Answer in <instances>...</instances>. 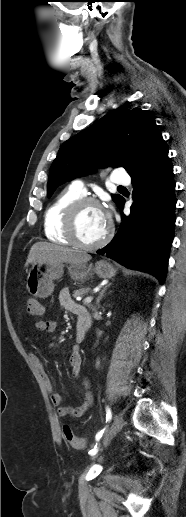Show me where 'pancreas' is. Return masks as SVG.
Instances as JSON below:
<instances>
[{"mask_svg":"<svg viewBox=\"0 0 186 517\" xmlns=\"http://www.w3.org/2000/svg\"><path fill=\"white\" fill-rule=\"evenodd\" d=\"M89 290H90V288H88V287H87V288H80V289H78V290H75V291L73 292V297H74V298H76V297H78V296H82V295H84V294L88 293V292H89Z\"/></svg>","mask_w":186,"mask_h":517,"instance_id":"pancreas-1","label":"pancreas"}]
</instances>
